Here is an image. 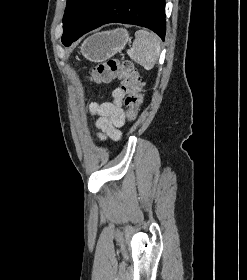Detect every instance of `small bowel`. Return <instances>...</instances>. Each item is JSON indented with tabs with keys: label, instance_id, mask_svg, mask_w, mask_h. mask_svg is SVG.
<instances>
[{
	"label": "small bowel",
	"instance_id": "obj_1",
	"mask_svg": "<svg viewBox=\"0 0 247 280\" xmlns=\"http://www.w3.org/2000/svg\"><path fill=\"white\" fill-rule=\"evenodd\" d=\"M114 101L102 104H91L90 110L98 115L96 126L99 130L98 136L104 140L111 138L118 140L121 137L120 127L125 121L124 111L121 107V100L124 96L122 87L113 92Z\"/></svg>",
	"mask_w": 247,
	"mask_h": 280
}]
</instances>
